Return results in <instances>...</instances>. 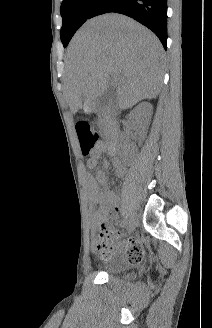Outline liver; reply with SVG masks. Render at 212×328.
Here are the masks:
<instances>
[{
  "mask_svg": "<svg viewBox=\"0 0 212 328\" xmlns=\"http://www.w3.org/2000/svg\"><path fill=\"white\" fill-rule=\"evenodd\" d=\"M163 58L158 38L133 19L110 13L88 20L66 54L64 95L72 113L92 106L107 90L110 75L120 109L157 97Z\"/></svg>",
  "mask_w": 212,
  "mask_h": 328,
  "instance_id": "obj_1",
  "label": "liver"
}]
</instances>
